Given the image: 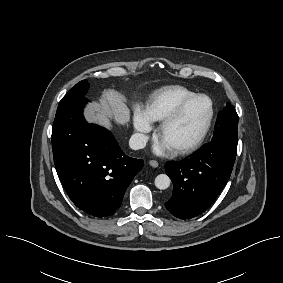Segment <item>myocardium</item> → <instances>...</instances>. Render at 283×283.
Wrapping results in <instances>:
<instances>
[{
  "label": "myocardium",
  "instance_id": "obj_1",
  "mask_svg": "<svg viewBox=\"0 0 283 283\" xmlns=\"http://www.w3.org/2000/svg\"><path fill=\"white\" fill-rule=\"evenodd\" d=\"M199 98H206L210 101V114L208 117V120L202 130V132L199 134V136L193 140L192 142L177 147L175 149H173L174 153L179 154V155H183V154H189L191 152H194L195 150H197L202 143L204 142L205 138L207 137L213 120H214V116H215V104L213 99L206 95V94H194L193 96L185 99L169 116H167L165 119H163L159 129H158V136L161 137L166 130L172 126L184 113V111L186 110V108L193 103L195 100L199 99Z\"/></svg>",
  "mask_w": 283,
  "mask_h": 283
}]
</instances>
